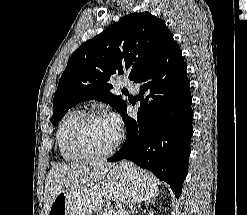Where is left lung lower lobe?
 Listing matches in <instances>:
<instances>
[{
	"mask_svg": "<svg viewBox=\"0 0 247 215\" xmlns=\"http://www.w3.org/2000/svg\"><path fill=\"white\" fill-rule=\"evenodd\" d=\"M135 82L141 83L137 120L127 108L121 114L126 141L108 162H134L167 182L179 198L188 172L193 113L186 65L173 37Z\"/></svg>",
	"mask_w": 247,
	"mask_h": 215,
	"instance_id": "1",
	"label": "left lung lower lobe"
}]
</instances>
